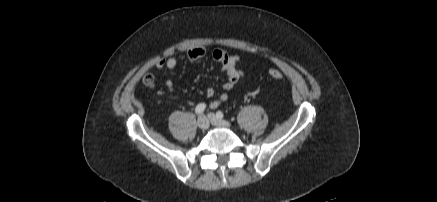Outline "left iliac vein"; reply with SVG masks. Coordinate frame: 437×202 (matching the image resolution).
Segmentation results:
<instances>
[{
    "label": "left iliac vein",
    "mask_w": 437,
    "mask_h": 202,
    "mask_svg": "<svg viewBox=\"0 0 437 202\" xmlns=\"http://www.w3.org/2000/svg\"><path fill=\"white\" fill-rule=\"evenodd\" d=\"M208 118H209L210 122L215 126H220V127H230L231 126V124L228 121L217 118L215 116V114H213V113H209Z\"/></svg>",
    "instance_id": "1"
}]
</instances>
